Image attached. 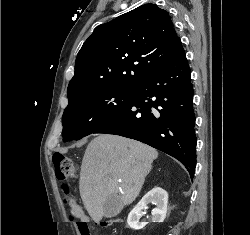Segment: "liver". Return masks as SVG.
Returning <instances> with one entry per match:
<instances>
[{
	"mask_svg": "<svg viewBox=\"0 0 250 235\" xmlns=\"http://www.w3.org/2000/svg\"><path fill=\"white\" fill-rule=\"evenodd\" d=\"M157 157L154 148L118 135L100 134L88 144L79 190L94 222L102 220L108 197L119 198L123 205L136 199Z\"/></svg>",
	"mask_w": 250,
	"mask_h": 235,
	"instance_id": "obj_1",
	"label": "liver"
}]
</instances>
